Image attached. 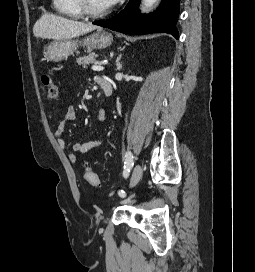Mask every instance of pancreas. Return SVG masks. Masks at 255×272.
I'll use <instances>...</instances> for the list:
<instances>
[{"instance_id":"pancreas-1","label":"pancreas","mask_w":255,"mask_h":272,"mask_svg":"<svg viewBox=\"0 0 255 272\" xmlns=\"http://www.w3.org/2000/svg\"><path fill=\"white\" fill-rule=\"evenodd\" d=\"M96 57H98V55L95 53H90L89 55L79 57L77 58V64L83 65V67H87V65L93 63L96 60Z\"/></svg>"}]
</instances>
